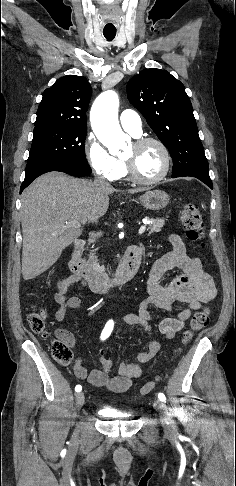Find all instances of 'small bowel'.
Listing matches in <instances>:
<instances>
[{
    "label": "small bowel",
    "mask_w": 236,
    "mask_h": 486,
    "mask_svg": "<svg viewBox=\"0 0 236 486\" xmlns=\"http://www.w3.org/2000/svg\"><path fill=\"white\" fill-rule=\"evenodd\" d=\"M168 241L172 250L153 263L146 281L147 296L140 302L138 312L126 314L113 323L139 325L152 335L155 318L149 311L151 306L171 313L177 304H185L186 307L174 315H165L158 321L159 332L166 338L172 339L184 328L193 312L215 298L216 287L213 278L204 270L201 261L187 254L185 244L179 235H169ZM170 270L179 271V275L168 286L160 285V279ZM75 284L85 285L84 281L74 274L64 276L57 282L54 300L58 305L55 312V319L58 322L66 319L68 309H76L80 306L79 297L66 296L70 287ZM56 335L70 345L75 343L73 334L67 330L59 329L56 331ZM159 350L160 343L153 338L149 342L147 351L137 354L135 362L121 363L118 373L110 375L112 362L107 357L105 349L99 347L97 356L101 368L93 369L88 373L78 360L74 365V374L78 379H87L95 387L105 388L116 393L125 392L131 387L133 381L142 375L143 365L150 361Z\"/></svg>",
    "instance_id": "small-bowel-1"
}]
</instances>
